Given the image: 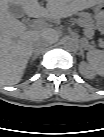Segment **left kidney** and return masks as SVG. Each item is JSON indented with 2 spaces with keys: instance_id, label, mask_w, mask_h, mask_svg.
I'll return each instance as SVG.
<instances>
[{
  "instance_id": "left-kidney-1",
  "label": "left kidney",
  "mask_w": 104,
  "mask_h": 137,
  "mask_svg": "<svg viewBox=\"0 0 104 137\" xmlns=\"http://www.w3.org/2000/svg\"><path fill=\"white\" fill-rule=\"evenodd\" d=\"M82 72L87 76H92L94 74L93 68H91L89 65L85 63H81L80 65Z\"/></svg>"
}]
</instances>
